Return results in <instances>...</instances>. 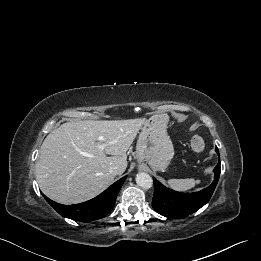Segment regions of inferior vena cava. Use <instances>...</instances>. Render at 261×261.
<instances>
[{
    "label": "inferior vena cava",
    "mask_w": 261,
    "mask_h": 261,
    "mask_svg": "<svg viewBox=\"0 0 261 261\" xmlns=\"http://www.w3.org/2000/svg\"><path fill=\"white\" fill-rule=\"evenodd\" d=\"M109 173L111 174V175H119L120 174V169H119V167L118 166H111L110 168H109Z\"/></svg>",
    "instance_id": "inferior-vena-cava-1"
}]
</instances>
